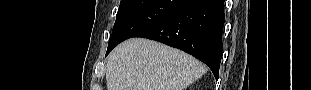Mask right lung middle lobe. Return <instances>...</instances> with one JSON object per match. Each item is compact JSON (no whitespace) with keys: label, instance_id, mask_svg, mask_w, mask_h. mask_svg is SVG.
Instances as JSON below:
<instances>
[{"label":"right lung middle lobe","instance_id":"1","mask_svg":"<svg viewBox=\"0 0 311 90\" xmlns=\"http://www.w3.org/2000/svg\"><path fill=\"white\" fill-rule=\"evenodd\" d=\"M187 0H121L107 54L120 42L161 22Z\"/></svg>","mask_w":311,"mask_h":90}]
</instances>
